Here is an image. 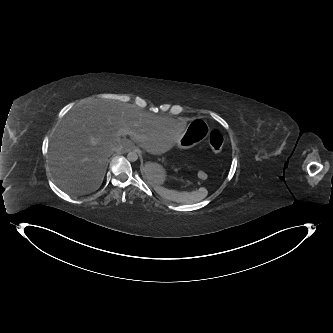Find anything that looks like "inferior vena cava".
<instances>
[{
	"instance_id": "1",
	"label": "inferior vena cava",
	"mask_w": 333,
	"mask_h": 333,
	"mask_svg": "<svg viewBox=\"0 0 333 333\" xmlns=\"http://www.w3.org/2000/svg\"><path fill=\"white\" fill-rule=\"evenodd\" d=\"M115 150H116V151H119V150H120V148H119V147H116V148H115Z\"/></svg>"
}]
</instances>
